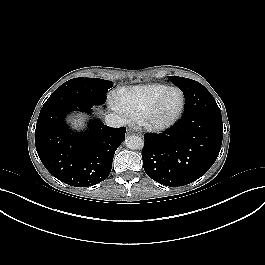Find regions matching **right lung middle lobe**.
<instances>
[{"mask_svg":"<svg viewBox=\"0 0 265 265\" xmlns=\"http://www.w3.org/2000/svg\"><path fill=\"white\" fill-rule=\"evenodd\" d=\"M111 81L98 78H74L58 87L43 107L68 104L78 107H92L106 101V92Z\"/></svg>","mask_w":265,"mask_h":265,"instance_id":"dd1d6c3e","label":"right lung middle lobe"}]
</instances>
